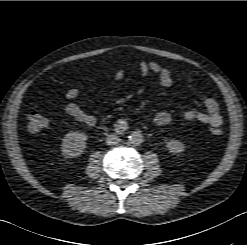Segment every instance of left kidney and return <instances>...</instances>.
I'll return each mask as SVG.
<instances>
[{
	"label": "left kidney",
	"mask_w": 247,
	"mask_h": 245,
	"mask_svg": "<svg viewBox=\"0 0 247 245\" xmlns=\"http://www.w3.org/2000/svg\"><path fill=\"white\" fill-rule=\"evenodd\" d=\"M166 146L169 152L172 154H180L185 150V145L178 140H169L166 142Z\"/></svg>",
	"instance_id": "left-kidney-1"
}]
</instances>
